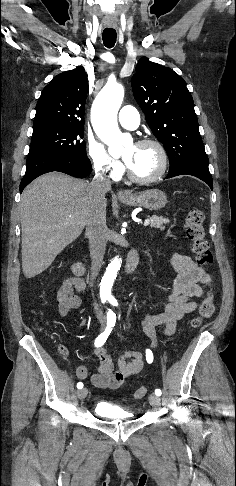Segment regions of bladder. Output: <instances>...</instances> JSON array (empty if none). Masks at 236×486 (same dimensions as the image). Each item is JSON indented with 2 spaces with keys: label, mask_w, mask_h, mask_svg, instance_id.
Masks as SVG:
<instances>
[{
  "label": "bladder",
  "mask_w": 236,
  "mask_h": 486,
  "mask_svg": "<svg viewBox=\"0 0 236 486\" xmlns=\"http://www.w3.org/2000/svg\"><path fill=\"white\" fill-rule=\"evenodd\" d=\"M94 411L97 415L103 418H108L113 420L125 421V420H131L134 417L133 413L126 411L119 406L104 401L97 403L94 408Z\"/></svg>",
  "instance_id": "1"
}]
</instances>
